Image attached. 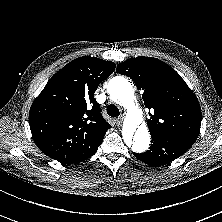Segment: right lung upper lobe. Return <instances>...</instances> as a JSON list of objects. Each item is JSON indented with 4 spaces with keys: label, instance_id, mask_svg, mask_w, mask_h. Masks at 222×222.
<instances>
[{
    "label": "right lung upper lobe",
    "instance_id": "cb5924a9",
    "mask_svg": "<svg viewBox=\"0 0 222 222\" xmlns=\"http://www.w3.org/2000/svg\"><path fill=\"white\" fill-rule=\"evenodd\" d=\"M115 66L95 57H79L48 81L29 112L33 139L44 154L63 164H77L96 153L111 126L94 93Z\"/></svg>",
    "mask_w": 222,
    "mask_h": 222
}]
</instances>
